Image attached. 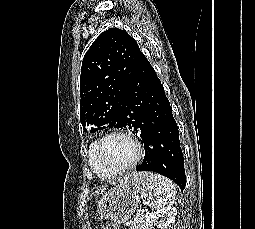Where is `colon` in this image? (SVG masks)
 I'll list each match as a JSON object with an SVG mask.
<instances>
[{"mask_svg":"<svg viewBox=\"0 0 255 229\" xmlns=\"http://www.w3.org/2000/svg\"><path fill=\"white\" fill-rule=\"evenodd\" d=\"M106 229H114L112 226H108Z\"/></svg>","mask_w":255,"mask_h":229,"instance_id":"obj_1","label":"colon"}]
</instances>
